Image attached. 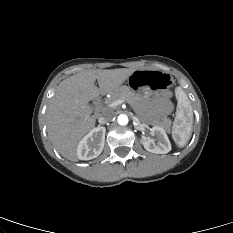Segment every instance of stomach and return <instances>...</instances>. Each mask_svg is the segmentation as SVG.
<instances>
[{
	"label": "stomach",
	"instance_id": "1",
	"mask_svg": "<svg viewBox=\"0 0 233 233\" xmlns=\"http://www.w3.org/2000/svg\"><path fill=\"white\" fill-rule=\"evenodd\" d=\"M169 73L155 69L136 70L126 79L127 88L142 98H149L171 86Z\"/></svg>",
	"mask_w": 233,
	"mask_h": 233
}]
</instances>
